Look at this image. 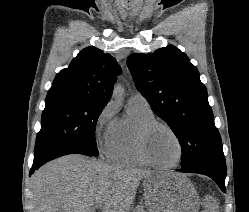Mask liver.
Returning <instances> with one entry per match:
<instances>
[{"label":"liver","instance_id":"obj_1","mask_svg":"<svg viewBox=\"0 0 249 212\" xmlns=\"http://www.w3.org/2000/svg\"><path fill=\"white\" fill-rule=\"evenodd\" d=\"M174 172H145L130 166H110L80 154L63 156L39 168L31 178L34 212H130L137 188L148 178L147 190L167 188ZM151 210L157 204L149 202ZM204 212H216V200L202 202ZM162 208V206H161Z\"/></svg>","mask_w":249,"mask_h":212}]
</instances>
